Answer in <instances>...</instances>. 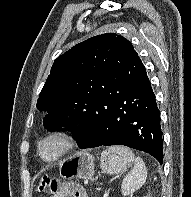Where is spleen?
I'll return each mask as SVG.
<instances>
[{
	"label": "spleen",
	"instance_id": "obj_1",
	"mask_svg": "<svg viewBox=\"0 0 191 197\" xmlns=\"http://www.w3.org/2000/svg\"><path fill=\"white\" fill-rule=\"evenodd\" d=\"M115 154L118 161L133 163L132 170L124 177L121 189L123 195H129L138 190L147 179V169L144 161L140 157H135L133 152L123 146H114L108 149Z\"/></svg>",
	"mask_w": 191,
	"mask_h": 197
}]
</instances>
